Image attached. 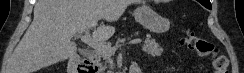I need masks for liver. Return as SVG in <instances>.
Returning a JSON list of instances; mask_svg holds the SVG:
<instances>
[{"instance_id":"6515ba94","label":"liver","mask_w":244,"mask_h":73,"mask_svg":"<svg viewBox=\"0 0 244 73\" xmlns=\"http://www.w3.org/2000/svg\"><path fill=\"white\" fill-rule=\"evenodd\" d=\"M136 0H38L34 19L15 48L7 73H34L55 63L73 58L77 46L71 41L76 33L94 28L92 36L108 40L115 32L100 19L117 21Z\"/></svg>"}]
</instances>
